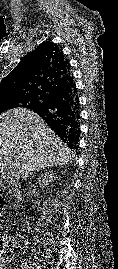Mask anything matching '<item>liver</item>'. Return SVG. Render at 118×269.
<instances>
[{
  "label": "liver",
  "mask_w": 118,
  "mask_h": 269,
  "mask_svg": "<svg viewBox=\"0 0 118 269\" xmlns=\"http://www.w3.org/2000/svg\"><path fill=\"white\" fill-rule=\"evenodd\" d=\"M72 159L71 150L33 111L15 108L0 115V172L12 166L27 178L35 170Z\"/></svg>",
  "instance_id": "liver-1"
}]
</instances>
